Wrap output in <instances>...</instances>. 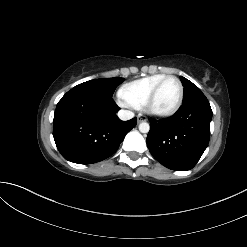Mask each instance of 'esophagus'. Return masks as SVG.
Masks as SVG:
<instances>
[{"label":"esophagus","mask_w":247,"mask_h":247,"mask_svg":"<svg viewBox=\"0 0 247 247\" xmlns=\"http://www.w3.org/2000/svg\"><path fill=\"white\" fill-rule=\"evenodd\" d=\"M144 121H145V119L142 118V117H138V118H137V122H138V123H141V122H144Z\"/></svg>","instance_id":"obj_1"}]
</instances>
